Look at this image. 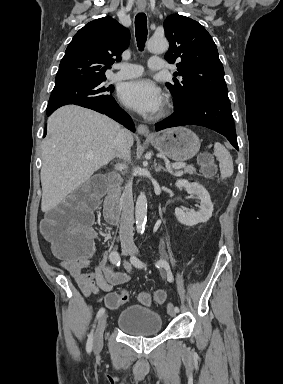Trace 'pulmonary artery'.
<instances>
[{
	"label": "pulmonary artery",
	"instance_id": "pulmonary-artery-1",
	"mask_svg": "<svg viewBox=\"0 0 283 384\" xmlns=\"http://www.w3.org/2000/svg\"><path fill=\"white\" fill-rule=\"evenodd\" d=\"M147 71H161L165 70L167 67L162 61H149L147 64ZM117 72L113 75V80H125L130 78L138 77L142 74L143 68L139 65H131L120 63L117 67Z\"/></svg>",
	"mask_w": 283,
	"mask_h": 384
}]
</instances>
